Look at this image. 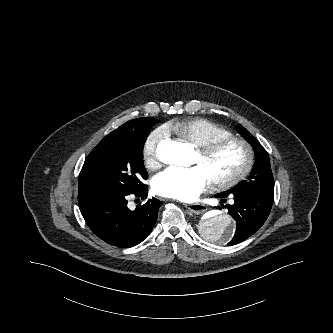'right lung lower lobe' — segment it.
Returning a JSON list of instances; mask_svg holds the SVG:
<instances>
[{"mask_svg":"<svg viewBox=\"0 0 333 333\" xmlns=\"http://www.w3.org/2000/svg\"><path fill=\"white\" fill-rule=\"evenodd\" d=\"M147 198L148 187L136 191L99 190L78 194L81 214L92 232L110 245L121 248L135 246L152 231L161 205L155 198L128 209V195Z\"/></svg>","mask_w":333,"mask_h":333,"instance_id":"obj_1","label":"right lung lower lobe"}]
</instances>
